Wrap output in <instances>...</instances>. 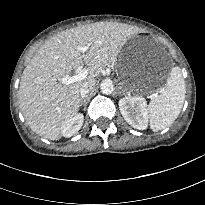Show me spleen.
<instances>
[{"instance_id":"obj_1","label":"spleen","mask_w":205,"mask_h":205,"mask_svg":"<svg viewBox=\"0 0 205 205\" xmlns=\"http://www.w3.org/2000/svg\"><path fill=\"white\" fill-rule=\"evenodd\" d=\"M185 80L181 68L171 69L163 92L155 95L148 105L150 128L153 132L169 127L179 116L185 100Z\"/></svg>"}]
</instances>
